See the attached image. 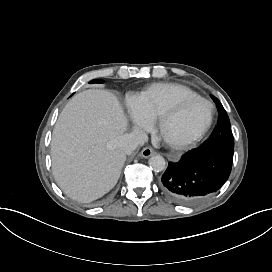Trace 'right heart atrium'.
<instances>
[{
    "instance_id": "right-heart-atrium-1",
    "label": "right heart atrium",
    "mask_w": 272,
    "mask_h": 272,
    "mask_svg": "<svg viewBox=\"0 0 272 272\" xmlns=\"http://www.w3.org/2000/svg\"><path fill=\"white\" fill-rule=\"evenodd\" d=\"M148 124V120L145 117L137 116L135 119V125L139 127H144Z\"/></svg>"
}]
</instances>
